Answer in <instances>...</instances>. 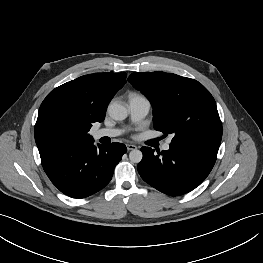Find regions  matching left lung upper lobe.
I'll return each mask as SVG.
<instances>
[{
    "mask_svg": "<svg viewBox=\"0 0 263 263\" xmlns=\"http://www.w3.org/2000/svg\"><path fill=\"white\" fill-rule=\"evenodd\" d=\"M128 81L149 99L154 128L171 144L219 147L222 124L210 92L198 81L165 72H134Z\"/></svg>",
    "mask_w": 263,
    "mask_h": 263,
    "instance_id": "obj_1",
    "label": "left lung upper lobe"
}]
</instances>
